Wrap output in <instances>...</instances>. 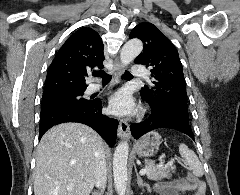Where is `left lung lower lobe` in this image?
Instances as JSON below:
<instances>
[{"mask_svg": "<svg viewBox=\"0 0 240 195\" xmlns=\"http://www.w3.org/2000/svg\"><path fill=\"white\" fill-rule=\"evenodd\" d=\"M158 128H170L189 135L194 139L189 125V115L179 111L166 110L152 112L148 119L130 125V130L135 139L145 133Z\"/></svg>", "mask_w": 240, "mask_h": 195, "instance_id": "1", "label": "left lung lower lobe"}]
</instances>
